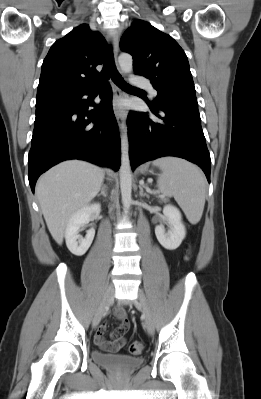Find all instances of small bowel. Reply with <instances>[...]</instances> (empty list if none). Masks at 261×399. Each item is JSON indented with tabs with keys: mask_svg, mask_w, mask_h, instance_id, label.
<instances>
[{
	"mask_svg": "<svg viewBox=\"0 0 261 399\" xmlns=\"http://www.w3.org/2000/svg\"><path fill=\"white\" fill-rule=\"evenodd\" d=\"M114 317L120 322L119 327L112 332L111 340L104 338L106 332V324L102 323L95 334L94 342L102 350L113 352L118 351L126 344L125 333L129 328V320L121 308L114 311Z\"/></svg>",
	"mask_w": 261,
	"mask_h": 399,
	"instance_id": "small-bowel-1",
	"label": "small bowel"
}]
</instances>
